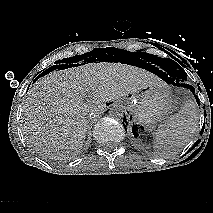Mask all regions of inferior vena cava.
Masks as SVG:
<instances>
[{
	"instance_id": "obj_1",
	"label": "inferior vena cava",
	"mask_w": 213,
	"mask_h": 213,
	"mask_svg": "<svg viewBox=\"0 0 213 213\" xmlns=\"http://www.w3.org/2000/svg\"><path fill=\"white\" fill-rule=\"evenodd\" d=\"M96 114H97L96 111L93 110V111H91L89 116H90V118L93 119V118H95Z\"/></svg>"
}]
</instances>
